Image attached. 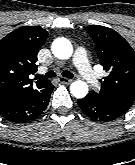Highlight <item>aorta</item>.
<instances>
[{
  "instance_id": "obj_1",
  "label": "aorta",
  "mask_w": 135,
  "mask_h": 165,
  "mask_svg": "<svg viewBox=\"0 0 135 165\" xmlns=\"http://www.w3.org/2000/svg\"><path fill=\"white\" fill-rule=\"evenodd\" d=\"M52 53L59 59H68L73 53L72 44L65 38H58L52 44ZM70 92L76 98H83L88 93V85L83 81H74Z\"/></svg>"
}]
</instances>
